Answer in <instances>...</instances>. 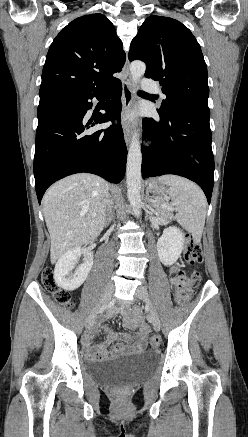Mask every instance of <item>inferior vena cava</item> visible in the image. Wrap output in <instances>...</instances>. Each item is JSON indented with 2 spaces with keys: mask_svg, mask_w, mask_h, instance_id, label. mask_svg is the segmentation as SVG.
Segmentation results:
<instances>
[{
  "mask_svg": "<svg viewBox=\"0 0 248 437\" xmlns=\"http://www.w3.org/2000/svg\"><path fill=\"white\" fill-rule=\"evenodd\" d=\"M112 204H113L112 200H109L107 204V213H108V217L110 218L112 215Z\"/></svg>",
  "mask_w": 248,
  "mask_h": 437,
  "instance_id": "602c4592",
  "label": "inferior vena cava"
}]
</instances>
